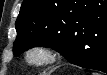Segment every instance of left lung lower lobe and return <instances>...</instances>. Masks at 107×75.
Segmentation results:
<instances>
[{
    "instance_id": "left-lung-lower-lobe-1",
    "label": "left lung lower lobe",
    "mask_w": 107,
    "mask_h": 75,
    "mask_svg": "<svg viewBox=\"0 0 107 75\" xmlns=\"http://www.w3.org/2000/svg\"><path fill=\"white\" fill-rule=\"evenodd\" d=\"M98 7L79 25V50L63 56L72 64L107 73V0H90Z\"/></svg>"
}]
</instances>
